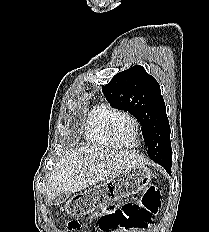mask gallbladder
Instances as JSON below:
<instances>
[{
	"instance_id": "obj_1",
	"label": "gallbladder",
	"mask_w": 209,
	"mask_h": 232,
	"mask_svg": "<svg viewBox=\"0 0 209 232\" xmlns=\"http://www.w3.org/2000/svg\"><path fill=\"white\" fill-rule=\"evenodd\" d=\"M68 198V195L66 194H61L57 196L55 199L52 200L51 205H59L64 203Z\"/></svg>"
}]
</instances>
